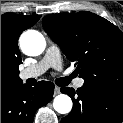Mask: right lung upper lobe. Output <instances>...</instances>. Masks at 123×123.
Returning a JSON list of instances; mask_svg holds the SVG:
<instances>
[{
	"mask_svg": "<svg viewBox=\"0 0 123 123\" xmlns=\"http://www.w3.org/2000/svg\"><path fill=\"white\" fill-rule=\"evenodd\" d=\"M40 17L14 13L1 15V87L23 85L18 69L22 63L18 38L24 30L36 24Z\"/></svg>",
	"mask_w": 123,
	"mask_h": 123,
	"instance_id": "right-lung-upper-lobe-1",
	"label": "right lung upper lobe"
}]
</instances>
